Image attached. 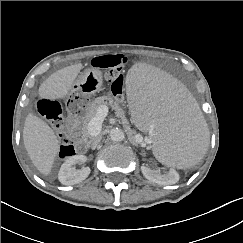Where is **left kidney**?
Listing matches in <instances>:
<instances>
[{"label":"left kidney","instance_id":"1","mask_svg":"<svg viewBox=\"0 0 243 243\" xmlns=\"http://www.w3.org/2000/svg\"><path fill=\"white\" fill-rule=\"evenodd\" d=\"M141 172L145 178L159 185H173L179 181V174L176 170H169L161 174L159 170L152 169L148 165L141 166Z\"/></svg>","mask_w":243,"mask_h":243}]
</instances>
